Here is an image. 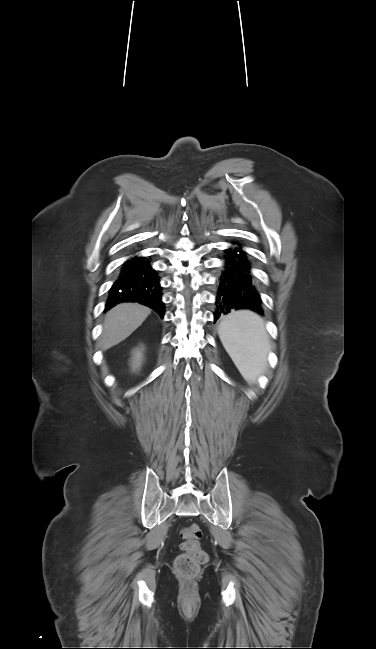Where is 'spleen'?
I'll return each instance as SVG.
<instances>
[{"mask_svg":"<svg viewBox=\"0 0 376 649\" xmlns=\"http://www.w3.org/2000/svg\"><path fill=\"white\" fill-rule=\"evenodd\" d=\"M218 334L244 379L254 383L267 364L270 348L263 319L251 311H232L220 322Z\"/></svg>","mask_w":376,"mask_h":649,"instance_id":"1","label":"spleen"}]
</instances>
